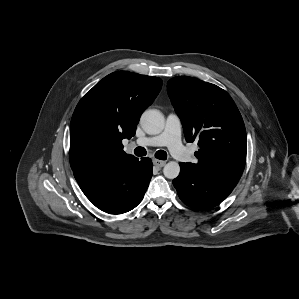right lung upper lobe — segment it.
<instances>
[{
	"instance_id": "obj_1",
	"label": "right lung upper lobe",
	"mask_w": 299,
	"mask_h": 299,
	"mask_svg": "<svg viewBox=\"0 0 299 299\" xmlns=\"http://www.w3.org/2000/svg\"><path fill=\"white\" fill-rule=\"evenodd\" d=\"M162 86L158 77L127 71L107 75L79 101L70 125L73 172L97 171L135 157L122 140L135 135L143 111Z\"/></svg>"
}]
</instances>
